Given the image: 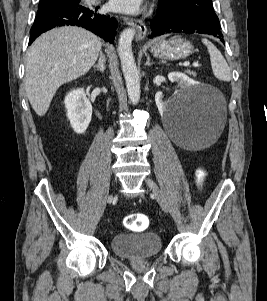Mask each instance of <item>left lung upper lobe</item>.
<instances>
[{"label": "left lung upper lobe", "mask_w": 267, "mask_h": 301, "mask_svg": "<svg viewBox=\"0 0 267 301\" xmlns=\"http://www.w3.org/2000/svg\"><path fill=\"white\" fill-rule=\"evenodd\" d=\"M159 11L172 15H192L220 26L212 0H159Z\"/></svg>", "instance_id": "5c2ea615"}]
</instances>
